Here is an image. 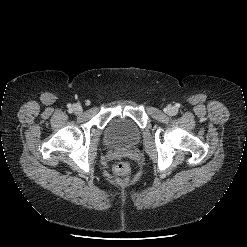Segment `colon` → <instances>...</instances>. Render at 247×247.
Here are the masks:
<instances>
[{"label": "colon", "mask_w": 247, "mask_h": 247, "mask_svg": "<svg viewBox=\"0 0 247 247\" xmlns=\"http://www.w3.org/2000/svg\"><path fill=\"white\" fill-rule=\"evenodd\" d=\"M130 172V165L126 161L118 162L114 167V173L117 177L123 178Z\"/></svg>", "instance_id": "obj_1"}]
</instances>
